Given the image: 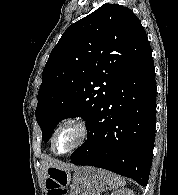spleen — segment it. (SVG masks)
Masks as SVG:
<instances>
[{
    "mask_svg": "<svg viewBox=\"0 0 178 195\" xmlns=\"http://www.w3.org/2000/svg\"><path fill=\"white\" fill-rule=\"evenodd\" d=\"M99 170L110 188L118 189L125 186L126 182L121 176L105 170Z\"/></svg>",
    "mask_w": 178,
    "mask_h": 195,
    "instance_id": "obj_1",
    "label": "spleen"
}]
</instances>
